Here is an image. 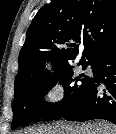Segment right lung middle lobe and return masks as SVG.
Returning a JSON list of instances; mask_svg holds the SVG:
<instances>
[{
	"label": "right lung middle lobe",
	"mask_w": 116,
	"mask_h": 134,
	"mask_svg": "<svg viewBox=\"0 0 116 134\" xmlns=\"http://www.w3.org/2000/svg\"><path fill=\"white\" fill-rule=\"evenodd\" d=\"M79 65L86 69L91 63L83 61ZM92 78L84 74L74 77L72 66L69 65L47 78L28 85L14 95L12 129L34 120L52 118L61 113L68 105L80 98ZM55 80L63 85L64 98L58 103H44L42 96L56 84Z\"/></svg>",
	"instance_id": "obj_1"
}]
</instances>
